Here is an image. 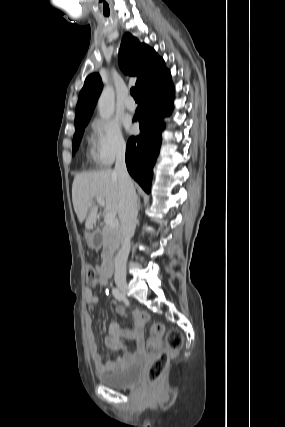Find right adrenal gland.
<instances>
[{
  "mask_svg": "<svg viewBox=\"0 0 285 427\" xmlns=\"http://www.w3.org/2000/svg\"><path fill=\"white\" fill-rule=\"evenodd\" d=\"M137 201H138V210H140V198L139 197L137 198Z\"/></svg>",
  "mask_w": 285,
  "mask_h": 427,
  "instance_id": "2a0ac1e0",
  "label": "right adrenal gland"
}]
</instances>
